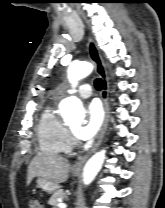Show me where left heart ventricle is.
<instances>
[{"instance_id": "left-heart-ventricle-1", "label": "left heart ventricle", "mask_w": 165, "mask_h": 208, "mask_svg": "<svg viewBox=\"0 0 165 208\" xmlns=\"http://www.w3.org/2000/svg\"><path fill=\"white\" fill-rule=\"evenodd\" d=\"M70 128H71V130H73L75 132L78 128V123H74V124L70 125Z\"/></svg>"}]
</instances>
